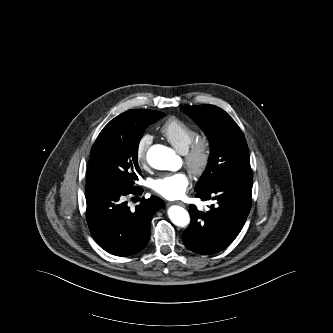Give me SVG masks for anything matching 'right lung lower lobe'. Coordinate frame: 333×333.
Instances as JSON below:
<instances>
[{"label":"right lung lower lobe","instance_id":"98d812e1","mask_svg":"<svg viewBox=\"0 0 333 333\" xmlns=\"http://www.w3.org/2000/svg\"><path fill=\"white\" fill-rule=\"evenodd\" d=\"M142 188L87 185L86 218L95 241L108 253L116 256L133 255L141 251L150 237V222L157 210L164 208L162 199L151 196L142 199L130 210L124 198L141 195Z\"/></svg>","mask_w":333,"mask_h":333}]
</instances>
